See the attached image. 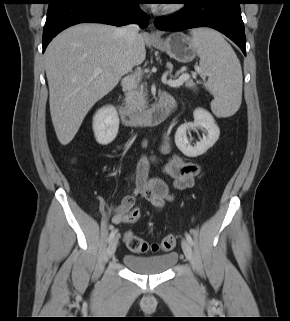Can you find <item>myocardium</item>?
I'll return each instance as SVG.
<instances>
[{"instance_id": "1", "label": "myocardium", "mask_w": 290, "mask_h": 321, "mask_svg": "<svg viewBox=\"0 0 290 321\" xmlns=\"http://www.w3.org/2000/svg\"><path fill=\"white\" fill-rule=\"evenodd\" d=\"M182 8L181 3L179 2H174L170 4H166L161 8V13L162 14H173L178 12Z\"/></svg>"}]
</instances>
